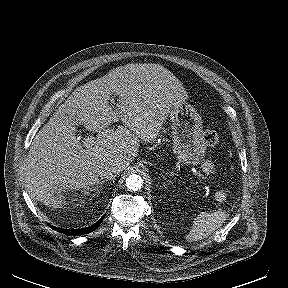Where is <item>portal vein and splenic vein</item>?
Instances as JSON below:
<instances>
[{
	"label": "portal vein and splenic vein",
	"mask_w": 288,
	"mask_h": 288,
	"mask_svg": "<svg viewBox=\"0 0 288 288\" xmlns=\"http://www.w3.org/2000/svg\"><path fill=\"white\" fill-rule=\"evenodd\" d=\"M85 141L88 142V141H89V138H86ZM203 171H204V172H207L208 170L205 168V169H203ZM196 174H197V176H199L201 179L204 178V175H203L200 171H196Z\"/></svg>",
	"instance_id": "obj_1"
}]
</instances>
